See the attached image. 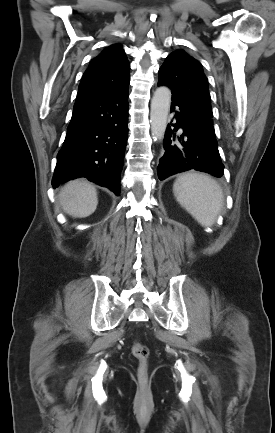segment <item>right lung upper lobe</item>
<instances>
[{
	"instance_id": "1",
	"label": "right lung upper lobe",
	"mask_w": 275,
	"mask_h": 433,
	"mask_svg": "<svg viewBox=\"0 0 275 433\" xmlns=\"http://www.w3.org/2000/svg\"><path fill=\"white\" fill-rule=\"evenodd\" d=\"M130 65L120 44H113L92 59L83 75L75 104L102 94L128 89Z\"/></svg>"
}]
</instances>
